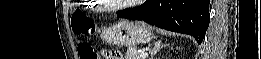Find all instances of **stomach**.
Here are the masks:
<instances>
[{"instance_id":"obj_1","label":"stomach","mask_w":261,"mask_h":59,"mask_svg":"<svg viewBox=\"0 0 261 59\" xmlns=\"http://www.w3.org/2000/svg\"><path fill=\"white\" fill-rule=\"evenodd\" d=\"M102 40L109 45L133 47L146 44L153 38L150 26L141 21L120 20L101 32Z\"/></svg>"}]
</instances>
